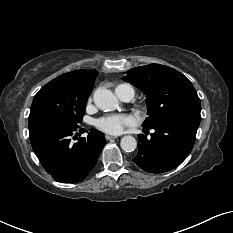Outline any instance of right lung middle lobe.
<instances>
[{
  "mask_svg": "<svg viewBox=\"0 0 233 233\" xmlns=\"http://www.w3.org/2000/svg\"><path fill=\"white\" fill-rule=\"evenodd\" d=\"M91 91L92 87L77 88L63 80L53 79L35 95L28 125L45 120L77 127Z\"/></svg>",
  "mask_w": 233,
  "mask_h": 233,
  "instance_id": "obj_1",
  "label": "right lung middle lobe"
}]
</instances>
